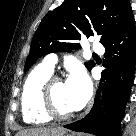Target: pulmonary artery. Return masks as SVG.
I'll list each match as a JSON object with an SVG mask.
<instances>
[{
  "label": "pulmonary artery",
  "mask_w": 136,
  "mask_h": 136,
  "mask_svg": "<svg viewBox=\"0 0 136 136\" xmlns=\"http://www.w3.org/2000/svg\"><path fill=\"white\" fill-rule=\"evenodd\" d=\"M92 49L94 52L99 53V54L104 52V47L98 41L93 42ZM56 63H57L56 54H49L46 56V58L44 60V64L52 70L54 69V66Z\"/></svg>",
  "instance_id": "1"
}]
</instances>
